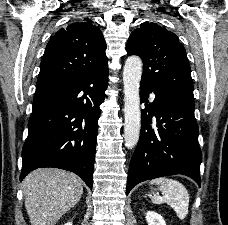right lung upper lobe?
<instances>
[{"label":"right lung upper lobe","instance_id":"1","mask_svg":"<svg viewBox=\"0 0 228 225\" xmlns=\"http://www.w3.org/2000/svg\"><path fill=\"white\" fill-rule=\"evenodd\" d=\"M106 42L92 20L69 24L52 36L40 64L37 90L76 81L108 66Z\"/></svg>","mask_w":228,"mask_h":225}]
</instances>
